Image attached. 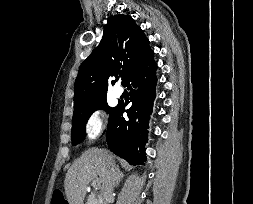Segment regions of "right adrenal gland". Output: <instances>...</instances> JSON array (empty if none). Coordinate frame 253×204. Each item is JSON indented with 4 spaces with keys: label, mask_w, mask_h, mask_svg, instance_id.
<instances>
[{
    "label": "right adrenal gland",
    "mask_w": 253,
    "mask_h": 204,
    "mask_svg": "<svg viewBox=\"0 0 253 204\" xmlns=\"http://www.w3.org/2000/svg\"><path fill=\"white\" fill-rule=\"evenodd\" d=\"M117 171V182H116V186L119 185V182L121 181V179L124 177L123 172L120 171L119 167L116 168Z\"/></svg>",
    "instance_id": "1"
}]
</instances>
